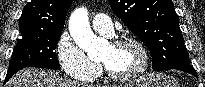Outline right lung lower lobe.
<instances>
[{
  "instance_id": "right-lung-lower-lobe-1",
  "label": "right lung lower lobe",
  "mask_w": 205,
  "mask_h": 87,
  "mask_svg": "<svg viewBox=\"0 0 205 87\" xmlns=\"http://www.w3.org/2000/svg\"><path fill=\"white\" fill-rule=\"evenodd\" d=\"M22 68H15V69H12V70H8V73L5 77V81H4V84L10 79V77L15 73L17 72L18 70H20Z\"/></svg>"
}]
</instances>
